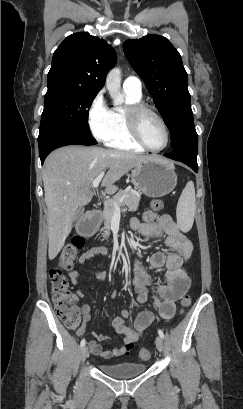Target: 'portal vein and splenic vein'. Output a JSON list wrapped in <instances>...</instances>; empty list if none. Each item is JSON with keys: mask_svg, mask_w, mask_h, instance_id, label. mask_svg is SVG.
<instances>
[{"mask_svg": "<svg viewBox=\"0 0 243 409\" xmlns=\"http://www.w3.org/2000/svg\"><path fill=\"white\" fill-rule=\"evenodd\" d=\"M105 171H102L92 182V187L97 189L98 185L100 184L102 178L104 177ZM124 200V198L120 199V202H122ZM114 207L116 211L120 210V207L118 205V203L114 202Z\"/></svg>", "mask_w": 243, "mask_h": 409, "instance_id": "obj_1", "label": "portal vein and splenic vein"}]
</instances>
